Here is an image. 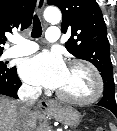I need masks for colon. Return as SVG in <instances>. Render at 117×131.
Listing matches in <instances>:
<instances>
[{
	"instance_id": "obj_1",
	"label": "colon",
	"mask_w": 117,
	"mask_h": 131,
	"mask_svg": "<svg viewBox=\"0 0 117 131\" xmlns=\"http://www.w3.org/2000/svg\"><path fill=\"white\" fill-rule=\"evenodd\" d=\"M97 131H107L104 127H99Z\"/></svg>"
}]
</instances>
